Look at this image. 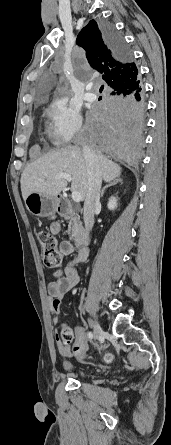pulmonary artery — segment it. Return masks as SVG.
<instances>
[{"label":"pulmonary artery","mask_w":171,"mask_h":445,"mask_svg":"<svg viewBox=\"0 0 171 445\" xmlns=\"http://www.w3.org/2000/svg\"><path fill=\"white\" fill-rule=\"evenodd\" d=\"M95 98H96V96L93 93H89V92L86 93L85 96H84V99L86 101H94Z\"/></svg>","instance_id":"1"}]
</instances>
